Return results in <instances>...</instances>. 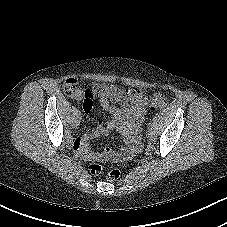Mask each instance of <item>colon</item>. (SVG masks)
<instances>
[{"mask_svg":"<svg viewBox=\"0 0 227 227\" xmlns=\"http://www.w3.org/2000/svg\"><path fill=\"white\" fill-rule=\"evenodd\" d=\"M64 92L69 96H75L81 91L79 82L76 78H69L63 84ZM87 97V102L92 101L94 98L106 97L112 101L126 103L133 96L140 97L143 101L146 100L145 95L136 90H131L128 88H119L112 85L106 84H95L88 87L85 91ZM167 105L166 98L161 94H155L150 99V106L152 109H163ZM90 173L94 175H99L103 171V167L98 163H93L88 166ZM120 171L118 169H112L107 172V179L110 182H116L120 178Z\"/></svg>","mask_w":227,"mask_h":227,"instance_id":"obj_1","label":"colon"}]
</instances>
